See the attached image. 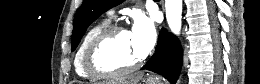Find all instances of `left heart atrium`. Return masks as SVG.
Segmentation results:
<instances>
[{"mask_svg":"<svg viewBox=\"0 0 260 84\" xmlns=\"http://www.w3.org/2000/svg\"><path fill=\"white\" fill-rule=\"evenodd\" d=\"M130 34L139 57H145L152 50L156 42V29L153 19L144 14L137 15Z\"/></svg>","mask_w":260,"mask_h":84,"instance_id":"obj_1","label":"left heart atrium"}]
</instances>
